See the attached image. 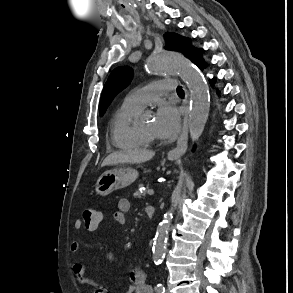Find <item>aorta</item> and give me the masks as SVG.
Listing matches in <instances>:
<instances>
[{"mask_svg":"<svg viewBox=\"0 0 293 293\" xmlns=\"http://www.w3.org/2000/svg\"><path fill=\"white\" fill-rule=\"evenodd\" d=\"M152 74L177 73L190 89L189 131L193 142L204 130L210 109L209 88L199 71L183 55L169 50L153 53L147 60ZM173 219V207L159 223L153 244V260L160 263L165 255L168 232Z\"/></svg>","mask_w":293,"mask_h":293,"instance_id":"obj_1","label":"aorta"}]
</instances>
